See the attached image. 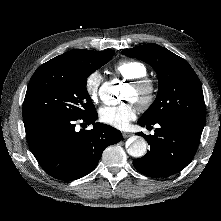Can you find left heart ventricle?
<instances>
[{"mask_svg": "<svg viewBox=\"0 0 221 221\" xmlns=\"http://www.w3.org/2000/svg\"><path fill=\"white\" fill-rule=\"evenodd\" d=\"M125 98L129 99V100H133L135 101L137 98V93L135 91V89L128 85L124 94Z\"/></svg>", "mask_w": 221, "mask_h": 221, "instance_id": "1", "label": "left heart ventricle"}]
</instances>
